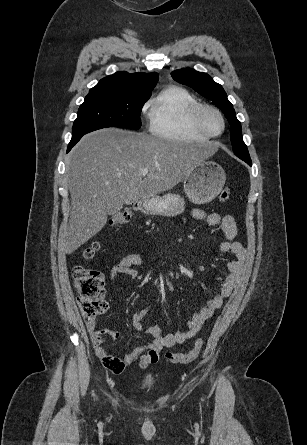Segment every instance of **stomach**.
I'll return each mask as SVG.
<instances>
[{
    "label": "stomach",
    "instance_id": "0dacf381",
    "mask_svg": "<svg viewBox=\"0 0 307 445\" xmlns=\"http://www.w3.org/2000/svg\"><path fill=\"white\" fill-rule=\"evenodd\" d=\"M226 180L225 170L218 162L206 160L196 164L183 180L184 192L195 204L211 202L221 192ZM145 214L176 216L185 208L184 198L175 192H166L163 196H146L140 202Z\"/></svg>",
    "mask_w": 307,
    "mask_h": 445
}]
</instances>
